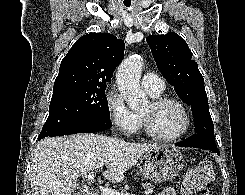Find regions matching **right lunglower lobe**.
<instances>
[{
	"label": "right lung lower lobe",
	"mask_w": 245,
	"mask_h": 195,
	"mask_svg": "<svg viewBox=\"0 0 245 195\" xmlns=\"http://www.w3.org/2000/svg\"><path fill=\"white\" fill-rule=\"evenodd\" d=\"M112 127L110 118L95 117L82 122L73 124L66 128H63L57 132L52 133L50 136H62L76 133H91L99 132ZM42 138H39L41 140Z\"/></svg>",
	"instance_id": "98d812e1"
}]
</instances>
